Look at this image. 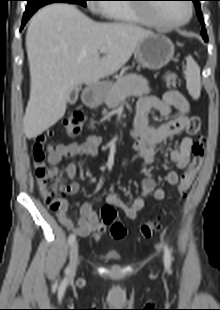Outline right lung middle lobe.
Segmentation results:
<instances>
[{
  "mask_svg": "<svg viewBox=\"0 0 220 310\" xmlns=\"http://www.w3.org/2000/svg\"><path fill=\"white\" fill-rule=\"evenodd\" d=\"M27 1H28L27 9H38L46 4L53 2H68L86 6L87 0H27Z\"/></svg>",
  "mask_w": 220,
  "mask_h": 310,
  "instance_id": "right-lung-middle-lobe-1",
  "label": "right lung middle lobe"
}]
</instances>
